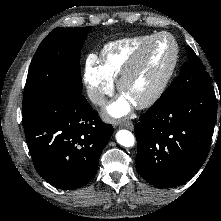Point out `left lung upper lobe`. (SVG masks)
Masks as SVG:
<instances>
[{"label":"left lung upper lobe","mask_w":221,"mask_h":221,"mask_svg":"<svg viewBox=\"0 0 221 221\" xmlns=\"http://www.w3.org/2000/svg\"><path fill=\"white\" fill-rule=\"evenodd\" d=\"M186 51L188 61L184 63L180 75L173 80L163 96L180 94L194 86L212 84L211 77L192 48L188 46Z\"/></svg>","instance_id":"1"}]
</instances>
